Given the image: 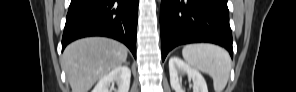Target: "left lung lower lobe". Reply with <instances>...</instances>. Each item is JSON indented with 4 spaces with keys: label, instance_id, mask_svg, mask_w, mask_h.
Listing matches in <instances>:
<instances>
[{
    "label": "left lung lower lobe",
    "instance_id": "0a47b994",
    "mask_svg": "<svg viewBox=\"0 0 296 92\" xmlns=\"http://www.w3.org/2000/svg\"><path fill=\"white\" fill-rule=\"evenodd\" d=\"M160 29L162 60L176 46L197 42L223 46L233 57L227 0H162Z\"/></svg>",
    "mask_w": 296,
    "mask_h": 92
}]
</instances>
